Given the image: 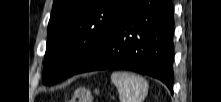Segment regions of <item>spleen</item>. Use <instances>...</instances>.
Returning a JSON list of instances; mask_svg holds the SVG:
<instances>
[{"label":"spleen","mask_w":221,"mask_h":102,"mask_svg":"<svg viewBox=\"0 0 221 102\" xmlns=\"http://www.w3.org/2000/svg\"><path fill=\"white\" fill-rule=\"evenodd\" d=\"M111 81L118 89L121 102H143L148 94V83L140 75L117 71L112 73Z\"/></svg>","instance_id":"1"}]
</instances>
